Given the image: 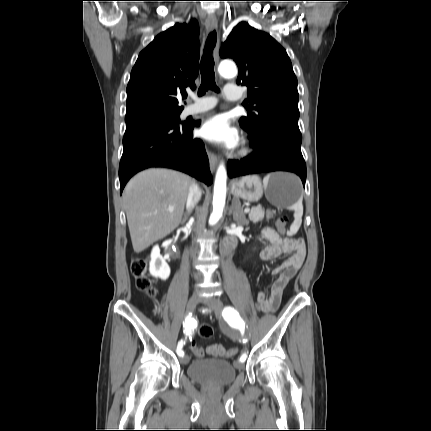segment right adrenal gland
Returning a JSON list of instances; mask_svg holds the SVG:
<instances>
[{"mask_svg":"<svg viewBox=\"0 0 431 431\" xmlns=\"http://www.w3.org/2000/svg\"><path fill=\"white\" fill-rule=\"evenodd\" d=\"M185 220H186V216H185V218L183 219V221H182L181 223H184V222H185Z\"/></svg>","mask_w":431,"mask_h":431,"instance_id":"1","label":"right adrenal gland"}]
</instances>
